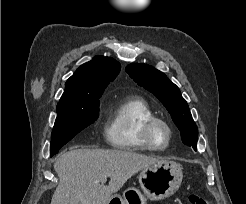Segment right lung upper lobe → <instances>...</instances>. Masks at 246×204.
<instances>
[{
    "label": "right lung upper lobe",
    "instance_id": "right-lung-upper-lobe-1",
    "mask_svg": "<svg viewBox=\"0 0 246 204\" xmlns=\"http://www.w3.org/2000/svg\"><path fill=\"white\" fill-rule=\"evenodd\" d=\"M120 64L113 58L96 56L81 65L65 85L59 103L76 102L102 95L107 85L120 72Z\"/></svg>",
    "mask_w": 246,
    "mask_h": 204
}]
</instances>
